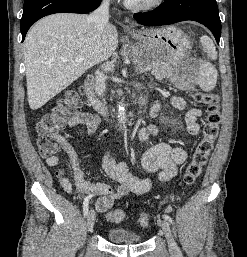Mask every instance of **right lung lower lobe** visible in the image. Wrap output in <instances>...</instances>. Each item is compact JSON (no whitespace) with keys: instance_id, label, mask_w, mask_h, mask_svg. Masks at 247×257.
I'll return each instance as SVG.
<instances>
[{"instance_id":"98d812e1","label":"right lung lower lobe","mask_w":247,"mask_h":257,"mask_svg":"<svg viewBox=\"0 0 247 257\" xmlns=\"http://www.w3.org/2000/svg\"><path fill=\"white\" fill-rule=\"evenodd\" d=\"M101 0H25L21 18L22 42L28 29L40 18L54 13H88L95 10Z\"/></svg>"}]
</instances>
